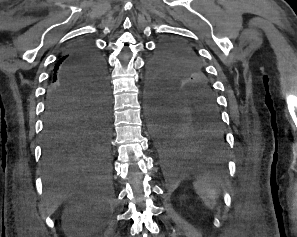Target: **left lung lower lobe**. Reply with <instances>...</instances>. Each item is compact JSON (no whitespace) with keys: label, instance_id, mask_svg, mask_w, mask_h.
Wrapping results in <instances>:
<instances>
[{"label":"left lung lower lobe","instance_id":"obj_1","mask_svg":"<svg viewBox=\"0 0 297 237\" xmlns=\"http://www.w3.org/2000/svg\"><path fill=\"white\" fill-rule=\"evenodd\" d=\"M148 112L155 145L168 166L223 168L227 148L217 103L149 98Z\"/></svg>","mask_w":297,"mask_h":237}]
</instances>
